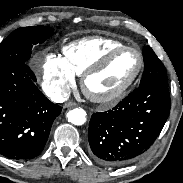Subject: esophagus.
<instances>
[{
  "instance_id": "1",
  "label": "esophagus",
  "mask_w": 183,
  "mask_h": 183,
  "mask_svg": "<svg viewBox=\"0 0 183 183\" xmlns=\"http://www.w3.org/2000/svg\"><path fill=\"white\" fill-rule=\"evenodd\" d=\"M76 105L75 102H67L63 105V108L75 107Z\"/></svg>"
}]
</instances>
